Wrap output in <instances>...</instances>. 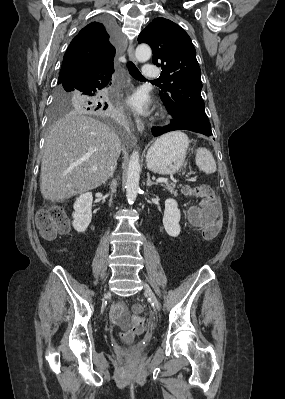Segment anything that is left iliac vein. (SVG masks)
I'll use <instances>...</instances> for the list:
<instances>
[{"instance_id":"4c4485c4","label":"left iliac vein","mask_w":285,"mask_h":399,"mask_svg":"<svg viewBox=\"0 0 285 399\" xmlns=\"http://www.w3.org/2000/svg\"><path fill=\"white\" fill-rule=\"evenodd\" d=\"M144 285V289L145 292L147 293L149 299L151 300V302L155 305V307L157 309H160V303L159 300L157 299L156 295L154 294V292L152 291V289L149 287V285L147 283H143Z\"/></svg>"}]
</instances>
